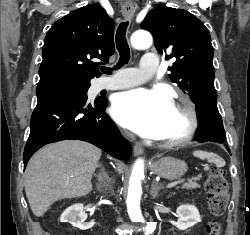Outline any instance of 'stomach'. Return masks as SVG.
<instances>
[{"label":"stomach","instance_id":"1","mask_svg":"<svg viewBox=\"0 0 250 235\" xmlns=\"http://www.w3.org/2000/svg\"><path fill=\"white\" fill-rule=\"evenodd\" d=\"M187 164L173 157H163L151 165V170L168 180H176L187 172Z\"/></svg>","mask_w":250,"mask_h":235}]
</instances>
